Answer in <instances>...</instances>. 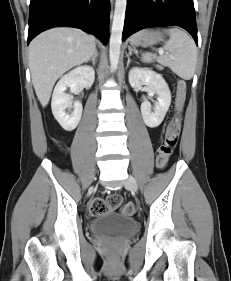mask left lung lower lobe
<instances>
[{
    "label": "left lung lower lobe",
    "instance_id": "left-lung-lower-lobe-1",
    "mask_svg": "<svg viewBox=\"0 0 231 281\" xmlns=\"http://www.w3.org/2000/svg\"><path fill=\"white\" fill-rule=\"evenodd\" d=\"M176 25L198 45L193 0H127L122 39L148 27Z\"/></svg>",
    "mask_w": 231,
    "mask_h": 281
}]
</instances>
